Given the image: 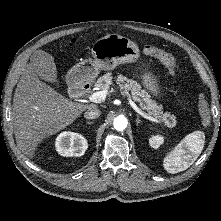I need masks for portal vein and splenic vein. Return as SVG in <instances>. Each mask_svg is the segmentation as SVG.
Instances as JSON below:
<instances>
[{
  "mask_svg": "<svg viewBox=\"0 0 221 221\" xmlns=\"http://www.w3.org/2000/svg\"><path fill=\"white\" fill-rule=\"evenodd\" d=\"M125 95L127 96L128 98V101L131 105V107L139 114L141 115L142 117L154 122V123H158V124H162L160 120L148 115L147 113H145L144 111H142L136 104L135 102L132 100V98L130 97V95L127 93V92H124ZM108 94V89H103L101 91H98V92H94L92 93L91 95H89L88 99L91 101V102H94V103H101L105 100L106 96Z\"/></svg>",
  "mask_w": 221,
  "mask_h": 221,
  "instance_id": "portal-vein-and-splenic-vein-1",
  "label": "portal vein and splenic vein"
}]
</instances>
